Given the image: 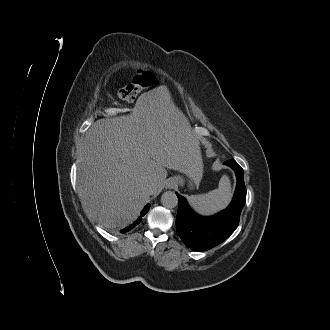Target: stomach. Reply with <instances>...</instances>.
Instances as JSON below:
<instances>
[{"instance_id": "obj_1", "label": "stomach", "mask_w": 330, "mask_h": 330, "mask_svg": "<svg viewBox=\"0 0 330 330\" xmlns=\"http://www.w3.org/2000/svg\"><path fill=\"white\" fill-rule=\"evenodd\" d=\"M185 175L188 179L190 189H193L199 185L203 175V162L201 153H197L192 157ZM178 181L180 185L185 183V179H183L181 176L178 177Z\"/></svg>"}]
</instances>
